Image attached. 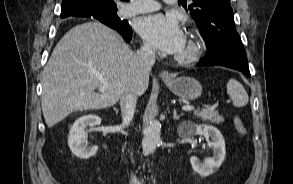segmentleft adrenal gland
<instances>
[{
    "instance_id": "a2214340",
    "label": "left adrenal gland",
    "mask_w": 293,
    "mask_h": 184,
    "mask_svg": "<svg viewBox=\"0 0 293 184\" xmlns=\"http://www.w3.org/2000/svg\"><path fill=\"white\" fill-rule=\"evenodd\" d=\"M181 116H183V114L177 115L176 109H174V111H173V119L178 120Z\"/></svg>"
}]
</instances>
